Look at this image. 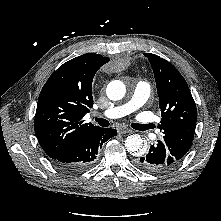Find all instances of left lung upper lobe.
Listing matches in <instances>:
<instances>
[{"instance_id": "obj_1", "label": "left lung upper lobe", "mask_w": 221, "mask_h": 221, "mask_svg": "<svg viewBox=\"0 0 221 221\" xmlns=\"http://www.w3.org/2000/svg\"><path fill=\"white\" fill-rule=\"evenodd\" d=\"M153 68L161 121L158 128L163 142L177 163L189 151L194 138L197 109L188 85L178 70L155 54L146 53Z\"/></svg>"}]
</instances>
